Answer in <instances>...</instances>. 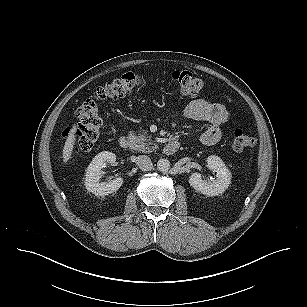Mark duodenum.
Wrapping results in <instances>:
<instances>
[{
    "label": "duodenum",
    "mask_w": 307,
    "mask_h": 307,
    "mask_svg": "<svg viewBox=\"0 0 307 307\" xmlns=\"http://www.w3.org/2000/svg\"><path fill=\"white\" fill-rule=\"evenodd\" d=\"M132 144H133V139L129 136H122L119 139V146L122 149H125V150L129 149L132 146ZM179 147H180V143L178 140H171L165 145L164 153L166 155H172L178 151Z\"/></svg>",
    "instance_id": "duodenum-1"
}]
</instances>
